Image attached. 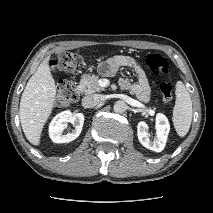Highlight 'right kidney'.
I'll list each match as a JSON object with an SVG mask.
<instances>
[{"mask_svg": "<svg viewBox=\"0 0 213 213\" xmlns=\"http://www.w3.org/2000/svg\"><path fill=\"white\" fill-rule=\"evenodd\" d=\"M70 122L75 125L71 133L63 134L66 123ZM84 123L82 113H72L69 110L57 114L49 125V136L55 143H68L75 140L81 133Z\"/></svg>", "mask_w": 213, "mask_h": 213, "instance_id": "obj_1", "label": "right kidney"}]
</instances>
